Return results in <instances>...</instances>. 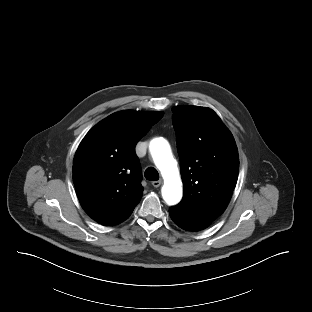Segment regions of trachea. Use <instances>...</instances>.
Listing matches in <instances>:
<instances>
[{
    "mask_svg": "<svg viewBox=\"0 0 312 312\" xmlns=\"http://www.w3.org/2000/svg\"><path fill=\"white\" fill-rule=\"evenodd\" d=\"M144 175L145 178L150 181H157L159 179L158 171L154 167H148Z\"/></svg>",
    "mask_w": 312,
    "mask_h": 312,
    "instance_id": "obj_1",
    "label": "trachea"
}]
</instances>
